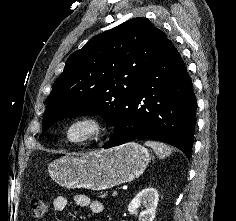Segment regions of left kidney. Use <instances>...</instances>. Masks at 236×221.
Masks as SVG:
<instances>
[{
  "mask_svg": "<svg viewBox=\"0 0 236 221\" xmlns=\"http://www.w3.org/2000/svg\"><path fill=\"white\" fill-rule=\"evenodd\" d=\"M159 195L155 188L148 187L141 190L129 203L128 211L132 215H139L140 221H153L155 218L156 207L158 204Z\"/></svg>",
  "mask_w": 236,
  "mask_h": 221,
  "instance_id": "obj_1",
  "label": "left kidney"
}]
</instances>
